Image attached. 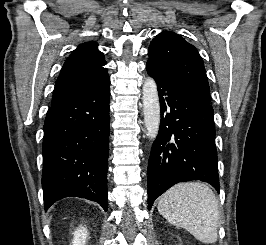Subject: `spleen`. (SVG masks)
Wrapping results in <instances>:
<instances>
[{"mask_svg": "<svg viewBox=\"0 0 266 245\" xmlns=\"http://www.w3.org/2000/svg\"><path fill=\"white\" fill-rule=\"evenodd\" d=\"M157 209L171 225L186 229L200 243H216L220 211L216 197L208 185H174L160 197Z\"/></svg>", "mask_w": 266, "mask_h": 245, "instance_id": "3e777b00", "label": "spleen"}]
</instances>
